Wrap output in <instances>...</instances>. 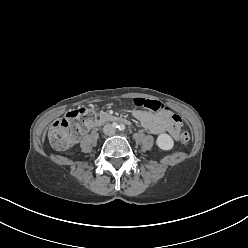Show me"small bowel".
Returning a JSON list of instances; mask_svg holds the SVG:
<instances>
[{"label": "small bowel", "instance_id": "c3829d8e", "mask_svg": "<svg viewBox=\"0 0 248 248\" xmlns=\"http://www.w3.org/2000/svg\"><path fill=\"white\" fill-rule=\"evenodd\" d=\"M133 116L151 134L168 133L175 140L180 137L179 123L173 120V114L170 111L151 113L144 110H135Z\"/></svg>", "mask_w": 248, "mask_h": 248}]
</instances>
